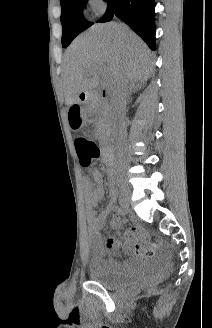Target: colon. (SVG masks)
<instances>
[{
  "mask_svg": "<svg viewBox=\"0 0 212 328\" xmlns=\"http://www.w3.org/2000/svg\"><path fill=\"white\" fill-rule=\"evenodd\" d=\"M74 147L82 167H89L100 155V150L96 143L83 135L75 137Z\"/></svg>",
  "mask_w": 212,
  "mask_h": 328,
  "instance_id": "1",
  "label": "colon"
}]
</instances>
